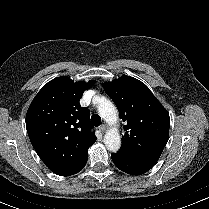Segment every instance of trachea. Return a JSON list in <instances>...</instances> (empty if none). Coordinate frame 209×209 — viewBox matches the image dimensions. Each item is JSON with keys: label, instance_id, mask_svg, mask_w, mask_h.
<instances>
[{"label": "trachea", "instance_id": "1", "mask_svg": "<svg viewBox=\"0 0 209 209\" xmlns=\"http://www.w3.org/2000/svg\"><path fill=\"white\" fill-rule=\"evenodd\" d=\"M91 123L96 127L99 126L101 124L100 116H98L97 114L92 115L91 116Z\"/></svg>", "mask_w": 209, "mask_h": 209}]
</instances>
